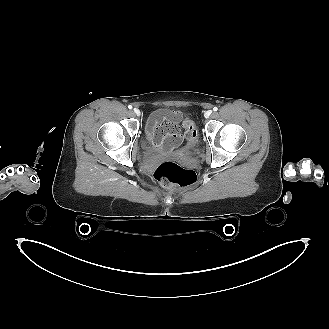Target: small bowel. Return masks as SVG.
<instances>
[{
	"instance_id": "1",
	"label": "small bowel",
	"mask_w": 329,
	"mask_h": 329,
	"mask_svg": "<svg viewBox=\"0 0 329 329\" xmlns=\"http://www.w3.org/2000/svg\"><path fill=\"white\" fill-rule=\"evenodd\" d=\"M167 115L154 112L149 118L146 131L153 145L158 149L170 151L177 147L182 140L178 115L170 116V120L165 122Z\"/></svg>"
}]
</instances>
